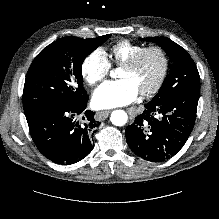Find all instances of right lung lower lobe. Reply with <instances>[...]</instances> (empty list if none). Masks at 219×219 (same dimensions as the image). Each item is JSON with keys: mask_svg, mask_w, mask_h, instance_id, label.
<instances>
[{"mask_svg": "<svg viewBox=\"0 0 219 219\" xmlns=\"http://www.w3.org/2000/svg\"><path fill=\"white\" fill-rule=\"evenodd\" d=\"M87 101L88 96L77 103L52 101L25 112L34 143L51 161L73 164L94 148L91 136L100 122L94 112L85 111Z\"/></svg>", "mask_w": 219, "mask_h": 219, "instance_id": "1", "label": "right lung lower lobe"}]
</instances>
